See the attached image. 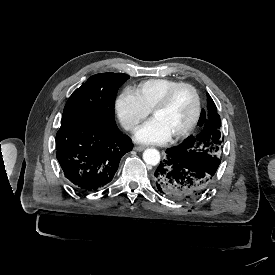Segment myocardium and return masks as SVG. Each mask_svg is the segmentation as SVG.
<instances>
[{"label":"myocardium","mask_w":275,"mask_h":275,"mask_svg":"<svg viewBox=\"0 0 275 275\" xmlns=\"http://www.w3.org/2000/svg\"><path fill=\"white\" fill-rule=\"evenodd\" d=\"M181 87H188L193 92V95L195 98V112H194V115H193L191 121L183 130H181L178 133L169 137L170 141H175V140L181 139V138L189 135L191 133V131L194 129V127L196 126V124L198 123L200 115H201V98H200L199 91L193 84H191L189 82H179V83H176L175 85L169 87L165 91V93L162 95V97L159 99V101L155 104V106L151 110L152 117L158 111L164 109L168 105L174 92Z\"/></svg>","instance_id":"f54148a6"}]
</instances>
